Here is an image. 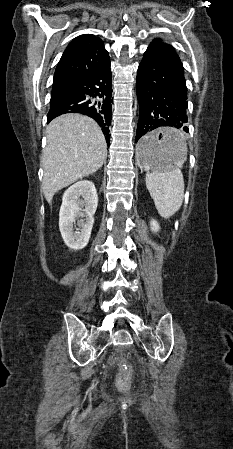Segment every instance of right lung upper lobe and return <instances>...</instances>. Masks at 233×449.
I'll use <instances>...</instances> for the list:
<instances>
[{
	"label": "right lung upper lobe",
	"instance_id": "1",
	"mask_svg": "<svg viewBox=\"0 0 233 449\" xmlns=\"http://www.w3.org/2000/svg\"><path fill=\"white\" fill-rule=\"evenodd\" d=\"M109 60L100 38L92 34L76 37L69 43L56 67L52 90L70 87L102 68Z\"/></svg>",
	"mask_w": 233,
	"mask_h": 449
}]
</instances>
